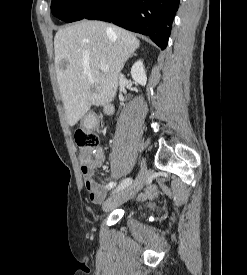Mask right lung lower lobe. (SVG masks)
Wrapping results in <instances>:
<instances>
[{"label": "right lung lower lobe", "mask_w": 247, "mask_h": 275, "mask_svg": "<svg viewBox=\"0 0 247 275\" xmlns=\"http://www.w3.org/2000/svg\"><path fill=\"white\" fill-rule=\"evenodd\" d=\"M180 0H105L84 18L112 22L148 35L161 49L167 46Z\"/></svg>", "instance_id": "98d812e1"}]
</instances>
